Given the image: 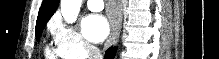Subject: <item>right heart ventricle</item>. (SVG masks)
<instances>
[{
    "instance_id": "right-heart-ventricle-1",
    "label": "right heart ventricle",
    "mask_w": 219,
    "mask_h": 59,
    "mask_svg": "<svg viewBox=\"0 0 219 59\" xmlns=\"http://www.w3.org/2000/svg\"><path fill=\"white\" fill-rule=\"evenodd\" d=\"M44 55L48 59H67L65 54L58 49L55 43L54 46H46L44 48Z\"/></svg>"
}]
</instances>
